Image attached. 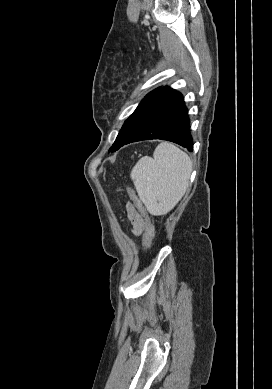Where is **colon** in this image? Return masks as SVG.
<instances>
[{"label": "colon", "mask_w": 272, "mask_h": 389, "mask_svg": "<svg viewBox=\"0 0 272 389\" xmlns=\"http://www.w3.org/2000/svg\"><path fill=\"white\" fill-rule=\"evenodd\" d=\"M129 194H130V197H131L132 201L134 202L135 206L137 207L138 211L140 212V214L143 217L144 228H145L143 242H144L145 248L149 250V249H151V247L153 245V241H154V237H155L153 224L150 220V217H149L147 211L145 210V207L143 206V204L139 200L136 193L133 190H129Z\"/></svg>", "instance_id": "obj_1"}]
</instances>
